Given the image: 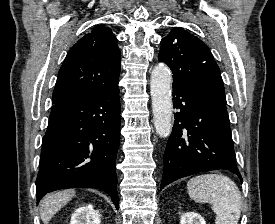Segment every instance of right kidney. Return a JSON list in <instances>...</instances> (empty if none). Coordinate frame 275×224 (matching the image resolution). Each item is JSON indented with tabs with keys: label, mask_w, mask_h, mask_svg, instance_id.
<instances>
[{
	"label": "right kidney",
	"mask_w": 275,
	"mask_h": 224,
	"mask_svg": "<svg viewBox=\"0 0 275 224\" xmlns=\"http://www.w3.org/2000/svg\"><path fill=\"white\" fill-rule=\"evenodd\" d=\"M100 214L92 205L79 207L74 211L70 224H100Z\"/></svg>",
	"instance_id": "obj_1"
}]
</instances>
